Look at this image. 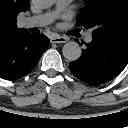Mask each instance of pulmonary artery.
I'll use <instances>...</instances> for the list:
<instances>
[{
	"label": "pulmonary artery",
	"instance_id": "obj_1",
	"mask_svg": "<svg viewBox=\"0 0 128 128\" xmlns=\"http://www.w3.org/2000/svg\"><path fill=\"white\" fill-rule=\"evenodd\" d=\"M73 0H57L56 2V10L55 11H49L43 14L31 16L24 18L21 21V25L24 27H43L46 25H49L54 21V19L57 17L59 11L63 10L67 5H69ZM86 40L88 42L92 41V36L88 35L86 37Z\"/></svg>",
	"mask_w": 128,
	"mask_h": 128
}]
</instances>
